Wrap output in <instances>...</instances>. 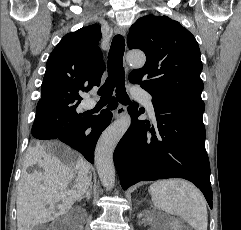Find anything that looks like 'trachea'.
<instances>
[{"instance_id": "1", "label": "trachea", "mask_w": 241, "mask_h": 230, "mask_svg": "<svg viewBox=\"0 0 241 230\" xmlns=\"http://www.w3.org/2000/svg\"><path fill=\"white\" fill-rule=\"evenodd\" d=\"M125 51V40L120 34L113 38L108 55V77L100 87L101 103H108L111 99L114 88L116 87V97L121 103H130L125 88V73L123 68V54Z\"/></svg>"}]
</instances>
